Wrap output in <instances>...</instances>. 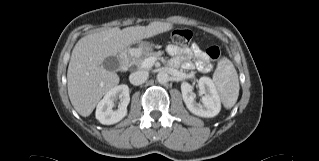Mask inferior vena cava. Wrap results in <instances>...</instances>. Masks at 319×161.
Masks as SVG:
<instances>
[{"instance_id": "602c4592", "label": "inferior vena cava", "mask_w": 319, "mask_h": 161, "mask_svg": "<svg viewBox=\"0 0 319 161\" xmlns=\"http://www.w3.org/2000/svg\"><path fill=\"white\" fill-rule=\"evenodd\" d=\"M148 78V72L147 71H136L130 74L129 80L130 83L133 85H141L143 84Z\"/></svg>"}]
</instances>
